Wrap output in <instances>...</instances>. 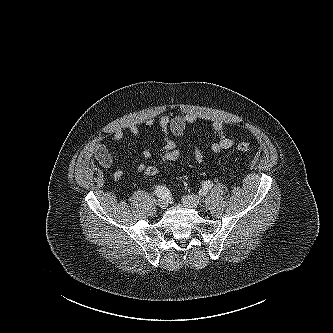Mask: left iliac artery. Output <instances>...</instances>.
Returning a JSON list of instances; mask_svg holds the SVG:
<instances>
[{
    "label": "left iliac artery",
    "instance_id": "1",
    "mask_svg": "<svg viewBox=\"0 0 333 333\" xmlns=\"http://www.w3.org/2000/svg\"><path fill=\"white\" fill-rule=\"evenodd\" d=\"M212 186H213V182L208 180V181L204 182L203 190L207 192L208 190H210L212 188Z\"/></svg>",
    "mask_w": 333,
    "mask_h": 333
}]
</instances>
